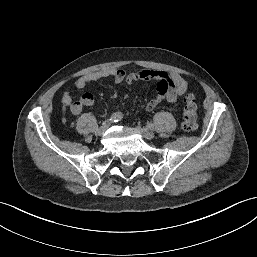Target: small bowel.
<instances>
[{
  "instance_id": "1",
  "label": "small bowel",
  "mask_w": 257,
  "mask_h": 257,
  "mask_svg": "<svg viewBox=\"0 0 257 257\" xmlns=\"http://www.w3.org/2000/svg\"><path fill=\"white\" fill-rule=\"evenodd\" d=\"M105 78H111L115 84L127 83L129 85L139 81H154L157 83L156 96L146 105L147 111L154 110L163 99L169 103H175L180 97L188 91L187 81L178 73H167L161 70L143 69L137 72L126 73L122 69H102L89 72L80 76L74 83L77 89H83L90 82ZM95 102L94 96L89 93H83L78 101L73 102L69 91L62 96V103L69 106L74 115L82 112L83 107L92 106Z\"/></svg>"
}]
</instances>
